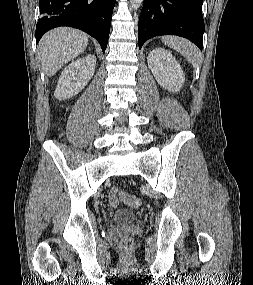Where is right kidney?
Listing matches in <instances>:
<instances>
[{
    "instance_id": "right-kidney-1",
    "label": "right kidney",
    "mask_w": 253,
    "mask_h": 285,
    "mask_svg": "<svg viewBox=\"0 0 253 285\" xmlns=\"http://www.w3.org/2000/svg\"><path fill=\"white\" fill-rule=\"evenodd\" d=\"M96 57L86 55L65 67L58 80L54 96L66 100L81 92L95 72Z\"/></svg>"
}]
</instances>
